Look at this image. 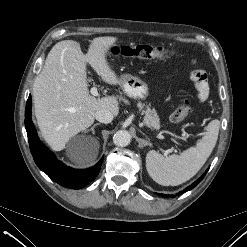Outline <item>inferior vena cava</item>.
I'll return each mask as SVG.
<instances>
[{
    "mask_svg": "<svg viewBox=\"0 0 247 247\" xmlns=\"http://www.w3.org/2000/svg\"><path fill=\"white\" fill-rule=\"evenodd\" d=\"M113 117V114L105 109L98 110L95 113L96 120L105 124L110 123L113 120Z\"/></svg>",
    "mask_w": 247,
    "mask_h": 247,
    "instance_id": "1",
    "label": "inferior vena cava"
}]
</instances>
